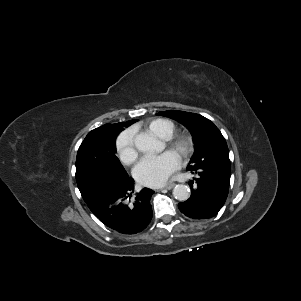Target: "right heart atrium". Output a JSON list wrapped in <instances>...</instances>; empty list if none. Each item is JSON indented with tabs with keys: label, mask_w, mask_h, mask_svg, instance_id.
I'll use <instances>...</instances> for the list:
<instances>
[{
	"label": "right heart atrium",
	"mask_w": 301,
	"mask_h": 301,
	"mask_svg": "<svg viewBox=\"0 0 301 301\" xmlns=\"http://www.w3.org/2000/svg\"><path fill=\"white\" fill-rule=\"evenodd\" d=\"M116 151L119 159L125 165L133 164L138 158V151L135 146L134 133L126 129L116 139Z\"/></svg>",
	"instance_id": "obj_1"
}]
</instances>
